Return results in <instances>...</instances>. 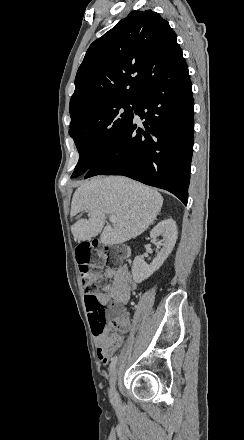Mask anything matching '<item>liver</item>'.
<instances>
[{
    "mask_svg": "<svg viewBox=\"0 0 244 440\" xmlns=\"http://www.w3.org/2000/svg\"><path fill=\"white\" fill-rule=\"evenodd\" d=\"M163 204L157 190L143 186L124 176H95L73 194L71 218L87 212L89 220H78L71 232L78 242L91 240L98 234L101 244H123L140 236L153 224ZM106 214L116 216L113 228L105 224Z\"/></svg>",
    "mask_w": 244,
    "mask_h": 440,
    "instance_id": "obj_1",
    "label": "liver"
}]
</instances>
